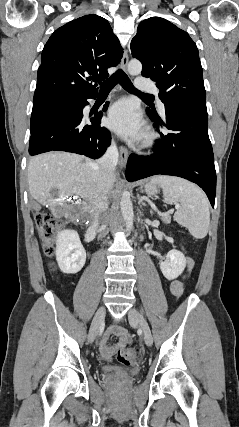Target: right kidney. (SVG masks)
I'll return each mask as SVG.
<instances>
[{
  "label": "right kidney",
  "mask_w": 239,
  "mask_h": 427,
  "mask_svg": "<svg viewBox=\"0 0 239 427\" xmlns=\"http://www.w3.org/2000/svg\"><path fill=\"white\" fill-rule=\"evenodd\" d=\"M56 260L63 273L76 274L86 262V251L74 230L61 231L56 240Z\"/></svg>",
  "instance_id": "ca27d5eb"
}]
</instances>
